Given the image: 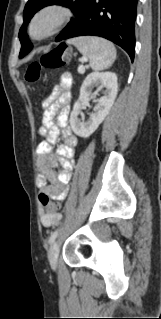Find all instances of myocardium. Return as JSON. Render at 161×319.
<instances>
[{
	"label": "myocardium",
	"instance_id": "f54148a6",
	"mask_svg": "<svg viewBox=\"0 0 161 319\" xmlns=\"http://www.w3.org/2000/svg\"><path fill=\"white\" fill-rule=\"evenodd\" d=\"M71 16V10L59 3H50L40 8L31 18L28 34L34 40H43L55 34L65 25ZM48 20L47 27L39 34L34 32V27Z\"/></svg>",
	"mask_w": 161,
	"mask_h": 319
}]
</instances>
